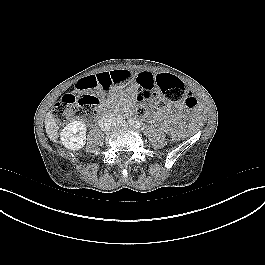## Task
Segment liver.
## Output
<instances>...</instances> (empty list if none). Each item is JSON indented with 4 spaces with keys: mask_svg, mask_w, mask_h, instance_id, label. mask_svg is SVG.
<instances>
[{
    "mask_svg": "<svg viewBox=\"0 0 265 265\" xmlns=\"http://www.w3.org/2000/svg\"><path fill=\"white\" fill-rule=\"evenodd\" d=\"M45 129L50 140L56 142L58 139V126L54 115L50 112L47 113L45 118Z\"/></svg>",
    "mask_w": 265,
    "mask_h": 265,
    "instance_id": "6515ba94",
    "label": "liver"
}]
</instances>
